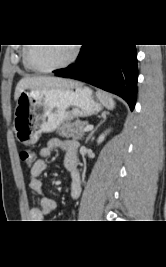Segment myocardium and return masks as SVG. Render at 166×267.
Returning a JSON list of instances; mask_svg holds the SVG:
<instances>
[{
	"instance_id": "myocardium-1",
	"label": "myocardium",
	"mask_w": 166,
	"mask_h": 267,
	"mask_svg": "<svg viewBox=\"0 0 166 267\" xmlns=\"http://www.w3.org/2000/svg\"><path fill=\"white\" fill-rule=\"evenodd\" d=\"M32 45L33 44H29V46H27L25 50L26 62L33 70L42 72V73H50V72H54V71L68 67L70 64H72L75 61L79 53V48L77 46H72V52L66 61L53 67L42 68V67L35 65L31 59V49L33 47Z\"/></svg>"
}]
</instances>
